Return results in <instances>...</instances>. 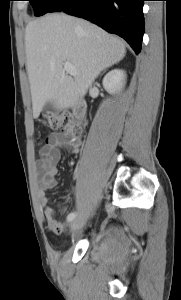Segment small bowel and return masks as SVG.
<instances>
[{"label": "small bowel", "mask_w": 181, "mask_h": 300, "mask_svg": "<svg viewBox=\"0 0 181 300\" xmlns=\"http://www.w3.org/2000/svg\"><path fill=\"white\" fill-rule=\"evenodd\" d=\"M66 145H68V143L62 135L56 133L51 134L40 149L41 156L36 165L38 196L43 207V214L48 227L58 234L64 231L65 226L55 217L53 208L49 206V197L46 192L54 188L57 184V164L61 158V150ZM69 146L71 153L76 154L79 152L78 144L71 143ZM61 209H64V206H62Z\"/></svg>", "instance_id": "small-bowel-1"}]
</instances>
